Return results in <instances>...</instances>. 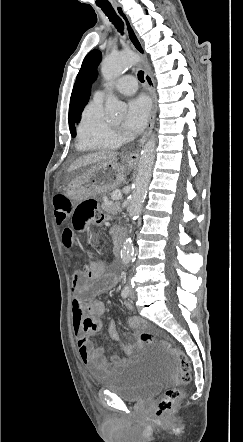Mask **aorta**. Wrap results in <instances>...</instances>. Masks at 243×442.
<instances>
[{"mask_svg":"<svg viewBox=\"0 0 243 442\" xmlns=\"http://www.w3.org/2000/svg\"><path fill=\"white\" fill-rule=\"evenodd\" d=\"M138 60V57L132 52H123L117 55L106 56L101 67L102 75L107 80L116 79L122 75L125 70L132 68ZM125 109V103L113 95L108 97L106 111L110 115H118L124 112ZM155 148L156 139L155 135H152L141 152L138 173L130 196L128 212L133 220L137 219L142 211L155 161ZM120 255L121 259L126 263L134 260V247L130 237L124 239Z\"/></svg>","mask_w":243,"mask_h":442,"instance_id":"762f6f07","label":"aorta"}]
</instances>
